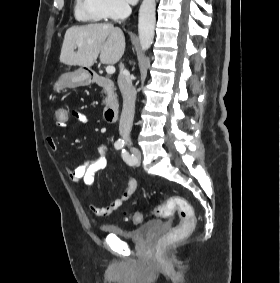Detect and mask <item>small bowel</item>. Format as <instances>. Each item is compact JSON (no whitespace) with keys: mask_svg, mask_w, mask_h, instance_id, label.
<instances>
[{"mask_svg":"<svg viewBox=\"0 0 280 283\" xmlns=\"http://www.w3.org/2000/svg\"><path fill=\"white\" fill-rule=\"evenodd\" d=\"M68 111V110H67ZM70 114V112H69ZM72 116L77 122L81 124H86L88 122L87 116L77 110L71 111ZM67 122H56V126L63 128L66 126ZM46 143L52 152L58 151V144L55 137L51 134L47 135ZM107 166V152L104 145H99L97 148L96 155L89 157L84 160V162L78 166H67V174L72 182L79 183L82 182L85 185H92L94 182L95 175L104 170ZM137 181L135 179H129L126 188L120 197L111 201L107 206H99L95 203H90L89 208L91 212L98 217H108L117 211L125 201H127L136 191Z\"/></svg>","mask_w":280,"mask_h":283,"instance_id":"small-bowel-1","label":"small bowel"}]
</instances>
